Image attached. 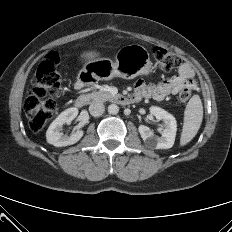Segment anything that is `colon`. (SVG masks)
<instances>
[{"instance_id": "colon-1", "label": "colon", "mask_w": 232, "mask_h": 232, "mask_svg": "<svg viewBox=\"0 0 232 232\" xmlns=\"http://www.w3.org/2000/svg\"><path fill=\"white\" fill-rule=\"evenodd\" d=\"M153 57L156 65L163 71H170L180 64V59L162 47L153 48ZM59 57L50 52L39 65L34 78L31 93L25 100V112L29 127L33 132L40 131L54 116V98L61 87V76L58 72ZM194 84L188 81L179 93L180 103L186 104L192 95Z\"/></svg>"}]
</instances>
